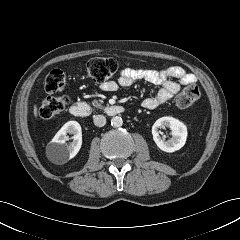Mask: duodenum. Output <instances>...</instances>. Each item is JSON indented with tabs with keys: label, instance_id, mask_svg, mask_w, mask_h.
<instances>
[{
	"label": "duodenum",
	"instance_id": "1",
	"mask_svg": "<svg viewBox=\"0 0 240 240\" xmlns=\"http://www.w3.org/2000/svg\"><path fill=\"white\" fill-rule=\"evenodd\" d=\"M94 110L86 102H75L70 107V113L78 118L88 117ZM125 108L121 105H106L101 109V112L109 115L116 116L122 114Z\"/></svg>",
	"mask_w": 240,
	"mask_h": 240
}]
</instances>
